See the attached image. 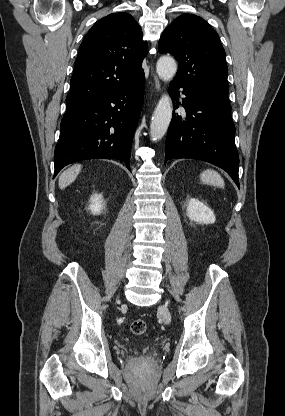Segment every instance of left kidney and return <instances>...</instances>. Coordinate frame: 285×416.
Listing matches in <instances>:
<instances>
[{
	"label": "left kidney",
	"instance_id": "left-kidney-1",
	"mask_svg": "<svg viewBox=\"0 0 285 416\" xmlns=\"http://www.w3.org/2000/svg\"><path fill=\"white\" fill-rule=\"evenodd\" d=\"M187 216L191 222H198V224H214L216 220L212 210L195 198L189 200Z\"/></svg>",
	"mask_w": 285,
	"mask_h": 416
}]
</instances>
